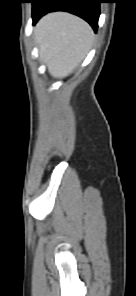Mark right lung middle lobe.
Masks as SVG:
<instances>
[{"label": "right lung middle lobe", "mask_w": 136, "mask_h": 296, "mask_svg": "<svg viewBox=\"0 0 136 296\" xmlns=\"http://www.w3.org/2000/svg\"><path fill=\"white\" fill-rule=\"evenodd\" d=\"M38 0H32V4L34 6V4L37 2Z\"/></svg>", "instance_id": "obj_1"}]
</instances>
